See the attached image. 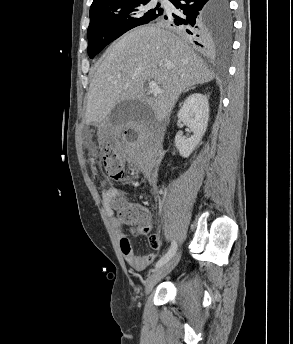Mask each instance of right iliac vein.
I'll list each match as a JSON object with an SVG mask.
<instances>
[{
	"label": "right iliac vein",
	"mask_w": 293,
	"mask_h": 344,
	"mask_svg": "<svg viewBox=\"0 0 293 344\" xmlns=\"http://www.w3.org/2000/svg\"><path fill=\"white\" fill-rule=\"evenodd\" d=\"M179 257L180 253L176 254L171 260L166 262L164 265H162L152 273V275L148 278L145 284L146 294H148L162 278H164L167 274L171 272V270L178 263Z\"/></svg>",
	"instance_id": "obj_1"
}]
</instances>
